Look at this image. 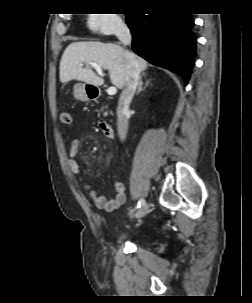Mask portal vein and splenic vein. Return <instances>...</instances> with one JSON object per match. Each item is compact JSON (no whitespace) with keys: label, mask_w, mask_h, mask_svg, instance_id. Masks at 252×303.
Listing matches in <instances>:
<instances>
[{"label":"portal vein and splenic vein","mask_w":252,"mask_h":303,"mask_svg":"<svg viewBox=\"0 0 252 303\" xmlns=\"http://www.w3.org/2000/svg\"><path fill=\"white\" fill-rule=\"evenodd\" d=\"M91 67H93L97 73L101 76H103V71H102V68L100 65H98L97 63H90ZM117 92V89L116 87H109L108 90H107V93L109 95H115Z\"/></svg>","instance_id":"obj_1"}]
</instances>
